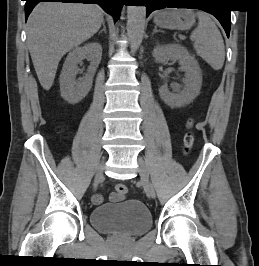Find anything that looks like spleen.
Returning <instances> with one entry per match:
<instances>
[{"mask_svg": "<svg viewBox=\"0 0 259 266\" xmlns=\"http://www.w3.org/2000/svg\"><path fill=\"white\" fill-rule=\"evenodd\" d=\"M199 23L192 32L196 54L214 70H220L225 61V46L222 35L210 15L203 11L196 13Z\"/></svg>", "mask_w": 259, "mask_h": 266, "instance_id": "3e777b00", "label": "spleen"}]
</instances>
